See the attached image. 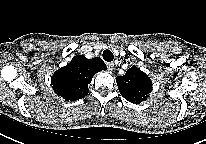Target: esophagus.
I'll list each match as a JSON object with an SVG mask.
<instances>
[{
    "label": "esophagus",
    "instance_id": "esophagus-1",
    "mask_svg": "<svg viewBox=\"0 0 206 144\" xmlns=\"http://www.w3.org/2000/svg\"><path fill=\"white\" fill-rule=\"evenodd\" d=\"M106 65H107V69H108L110 72H112L113 69H114V64H113V63H107Z\"/></svg>",
    "mask_w": 206,
    "mask_h": 144
}]
</instances>
